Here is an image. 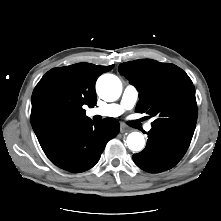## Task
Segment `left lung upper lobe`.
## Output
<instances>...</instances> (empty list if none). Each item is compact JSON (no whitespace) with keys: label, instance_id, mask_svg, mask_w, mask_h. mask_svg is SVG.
Instances as JSON below:
<instances>
[{"label":"left lung upper lobe","instance_id":"1","mask_svg":"<svg viewBox=\"0 0 221 221\" xmlns=\"http://www.w3.org/2000/svg\"><path fill=\"white\" fill-rule=\"evenodd\" d=\"M118 70L140 92L137 111L156 118L152 128L191 141L197 122L195 88L181 68L142 59L122 63Z\"/></svg>","mask_w":221,"mask_h":221}]
</instances>
